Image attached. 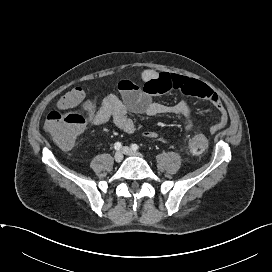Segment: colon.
<instances>
[{
    "label": "colon",
    "instance_id": "colon-1",
    "mask_svg": "<svg viewBox=\"0 0 272 272\" xmlns=\"http://www.w3.org/2000/svg\"><path fill=\"white\" fill-rule=\"evenodd\" d=\"M60 111L50 112L45 121V129L62 147H71L82 132L86 117L93 111L94 102L85 97L80 88L67 92L58 102ZM207 138L202 134L195 135L189 144L195 154L202 153L207 147Z\"/></svg>",
    "mask_w": 272,
    "mask_h": 272
}]
</instances>
